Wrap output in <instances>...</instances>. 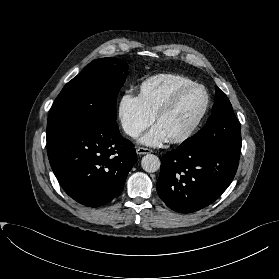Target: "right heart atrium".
I'll use <instances>...</instances> for the list:
<instances>
[{"label":"right heart atrium","instance_id":"obj_1","mask_svg":"<svg viewBox=\"0 0 279 279\" xmlns=\"http://www.w3.org/2000/svg\"><path fill=\"white\" fill-rule=\"evenodd\" d=\"M116 115L123 132L130 138H136L153 122V117L145 110L139 96L129 92L120 96Z\"/></svg>","mask_w":279,"mask_h":279}]
</instances>
